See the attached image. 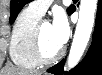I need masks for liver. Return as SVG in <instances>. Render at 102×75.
Returning a JSON list of instances; mask_svg holds the SVG:
<instances>
[{"mask_svg": "<svg viewBox=\"0 0 102 75\" xmlns=\"http://www.w3.org/2000/svg\"><path fill=\"white\" fill-rule=\"evenodd\" d=\"M1 75H41L39 72H27L16 67H9L1 71Z\"/></svg>", "mask_w": 102, "mask_h": 75, "instance_id": "obj_1", "label": "liver"}]
</instances>
